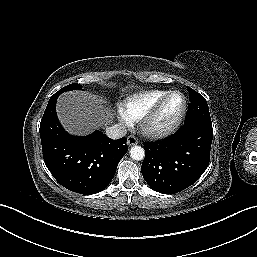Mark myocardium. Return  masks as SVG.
I'll return each mask as SVG.
<instances>
[{
    "instance_id": "f54148a6",
    "label": "myocardium",
    "mask_w": 257,
    "mask_h": 257,
    "mask_svg": "<svg viewBox=\"0 0 257 257\" xmlns=\"http://www.w3.org/2000/svg\"><path fill=\"white\" fill-rule=\"evenodd\" d=\"M180 95L183 99L182 109L179 115L168 125L158 126L156 124V118L162 108L165 106L167 101L173 95ZM187 112V99L185 95L180 91H170L166 96H164L159 102H157L141 119V130L143 134L147 137L153 139H163L172 135L182 124Z\"/></svg>"
}]
</instances>
